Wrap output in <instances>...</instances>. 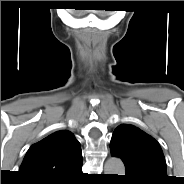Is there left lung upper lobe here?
<instances>
[{"label": "left lung upper lobe", "instance_id": "1", "mask_svg": "<svg viewBox=\"0 0 184 184\" xmlns=\"http://www.w3.org/2000/svg\"><path fill=\"white\" fill-rule=\"evenodd\" d=\"M110 151L124 162L127 179L140 184H165L169 179L159 143L133 125L121 124L115 129Z\"/></svg>", "mask_w": 184, "mask_h": 184}]
</instances>
